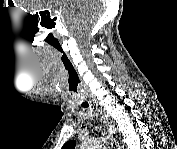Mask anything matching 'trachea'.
<instances>
[{"label":"trachea","mask_w":177,"mask_h":149,"mask_svg":"<svg viewBox=\"0 0 177 149\" xmlns=\"http://www.w3.org/2000/svg\"><path fill=\"white\" fill-rule=\"evenodd\" d=\"M81 106H82L83 108H88V107H89V104L86 102V103L81 104Z\"/></svg>","instance_id":"3493384b"}]
</instances>
